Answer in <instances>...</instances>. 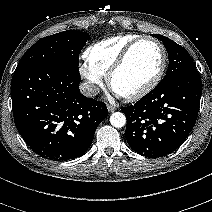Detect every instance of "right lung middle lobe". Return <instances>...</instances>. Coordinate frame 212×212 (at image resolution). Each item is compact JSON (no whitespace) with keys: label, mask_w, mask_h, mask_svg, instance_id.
I'll return each mask as SVG.
<instances>
[{"label":"right lung middle lobe","mask_w":212,"mask_h":212,"mask_svg":"<svg viewBox=\"0 0 212 212\" xmlns=\"http://www.w3.org/2000/svg\"><path fill=\"white\" fill-rule=\"evenodd\" d=\"M89 39L87 33L76 30L42 38L26 51L14 73L35 66L53 65L79 74V53Z\"/></svg>","instance_id":"obj_1"}]
</instances>
